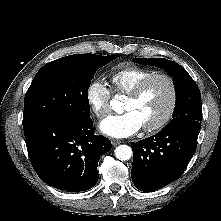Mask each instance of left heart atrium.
I'll return each instance as SVG.
<instances>
[{
	"instance_id": "39dd6f15",
	"label": "left heart atrium",
	"mask_w": 221,
	"mask_h": 221,
	"mask_svg": "<svg viewBox=\"0 0 221 221\" xmlns=\"http://www.w3.org/2000/svg\"><path fill=\"white\" fill-rule=\"evenodd\" d=\"M99 127L107 136L125 138L138 132L142 128V123L133 111H126L123 114L108 116Z\"/></svg>"
}]
</instances>
